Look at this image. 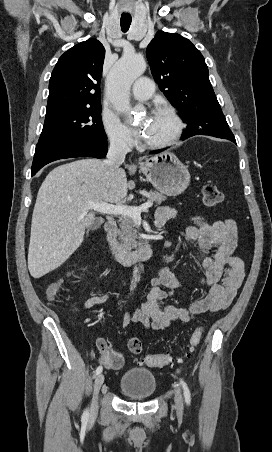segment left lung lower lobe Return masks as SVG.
Returning <instances> with one entry per match:
<instances>
[{"instance_id":"left-lung-lower-lobe-1","label":"left lung lower lobe","mask_w":272,"mask_h":452,"mask_svg":"<svg viewBox=\"0 0 272 452\" xmlns=\"http://www.w3.org/2000/svg\"><path fill=\"white\" fill-rule=\"evenodd\" d=\"M194 135H205V134H202V133H200L199 131H191V130H187V131L184 132V134L182 135L181 139H186V138L191 137V136H194ZM209 136H210V135H209ZM214 137L226 138V139H229V140H231L232 142L236 143L233 134L226 135V136H214ZM163 150H165V149H162V150H155V151L150 152V154L160 153V152L163 151Z\"/></svg>"}]
</instances>
